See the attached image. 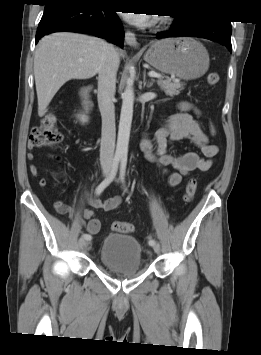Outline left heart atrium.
Returning <instances> with one entry per match:
<instances>
[{
	"mask_svg": "<svg viewBox=\"0 0 261 355\" xmlns=\"http://www.w3.org/2000/svg\"><path fill=\"white\" fill-rule=\"evenodd\" d=\"M125 20L137 26H146L154 22V15L151 13H123Z\"/></svg>",
	"mask_w": 261,
	"mask_h": 355,
	"instance_id": "1",
	"label": "left heart atrium"
}]
</instances>
